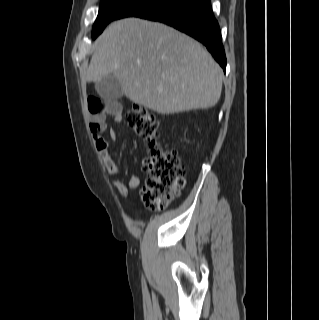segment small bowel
<instances>
[{
	"instance_id": "small-bowel-1",
	"label": "small bowel",
	"mask_w": 319,
	"mask_h": 320,
	"mask_svg": "<svg viewBox=\"0 0 319 320\" xmlns=\"http://www.w3.org/2000/svg\"><path fill=\"white\" fill-rule=\"evenodd\" d=\"M88 111L91 115L90 130L93 142L106 169L114 176L127 178V184L121 180L113 181L116 190L121 195H125L128 188L135 189L140 185V178L137 175H129L127 171L121 169L112 159L109 152L110 141H115L116 132L108 128L106 118L107 116H111L115 123H121V106L112 101L102 104L99 99L89 97ZM106 133L109 136V140L105 136Z\"/></svg>"
}]
</instances>
